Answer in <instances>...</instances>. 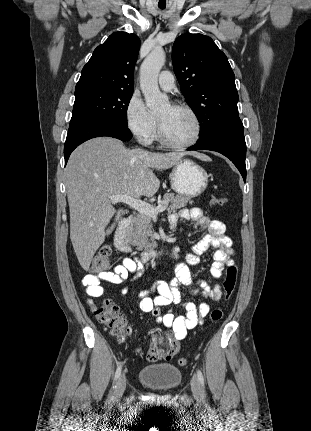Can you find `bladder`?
Returning a JSON list of instances; mask_svg holds the SVG:
<instances>
[{"instance_id": "bladder-1", "label": "bladder", "mask_w": 311, "mask_h": 431, "mask_svg": "<svg viewBox=\"0 0 311 431\" xmlns=\"http://www.w3.org/2000/svg\"><path fill=\"white\" fill-rule=\"evenodd\" d=\"M138 379L150 389L170 391L180 384L182 374L173 364L156 363L142 367L138 373Z\"/></svg>"}]
</instances>
